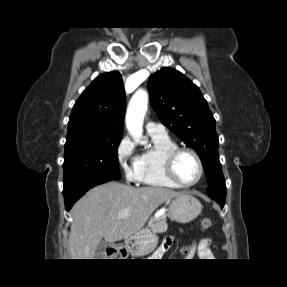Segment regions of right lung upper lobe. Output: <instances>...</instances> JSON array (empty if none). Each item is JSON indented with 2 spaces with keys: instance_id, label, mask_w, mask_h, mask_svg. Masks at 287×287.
Returning a JSON list of instances; mask_svg holds the SVG:
<instances>
[{
  "instance_id": "cb5924a9",
  "label": "right lung upper lobe",
  "mask_w": 287,
  "mask_h": 287,
  "mask_svg": "<svg viewBox=\"0 0 287 287\" xmlns=\"http://www.w3.org/2000/svg\"><path fill=\"white\" fill-rule=\"evenodd\" d=\"M125 108L121 74L117 71L101 74L74 104L68 131L86 127L97 135L122 134Z\"/></svg>"
}]
</instances>
